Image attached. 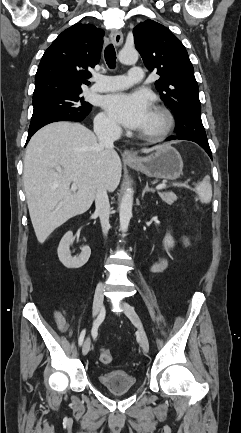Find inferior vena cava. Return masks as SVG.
<instances>
[{"mask_svg": "<svg viewBox=\"0 0 241 433\" xmlns=\"http://www.w3.org/2000/svg\"><path fill=\"white\" fill-rule=\"evenodd\" d=\"M94 132L103 147H113V143L120 137L121 129L119 126L109 122L97 123L94 125ZM96 212L99 215L101 227L104 235L109 230L110 204L107 190L99 186L95 195Z\"/></svg>", "mask_w": 241, "mask_h": 433, "instance_id": "602c4592", "label": "inferior vena cava"}]
</instances>
